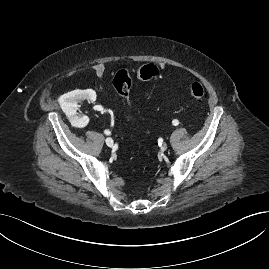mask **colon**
<instances>
[{
  "instance_id": "colon-1",
  "label": "colon",
  "mask_w": 269,
  "mask_h": 269,
  "mask_svg": "<svg viewBox=\"0 0 269 269\" xmlns=\"http://www.w3.org/2000/svg\"><path fill=\"white\" fill-rule=\"evenodd\" d=\"M160 69L155 65H145L139 70L138 77L148 80L159 76ZM133 79L126 70H119L114 78L113 85L118 93L123 97L128 106L131 105V91ZM189 95L194 101H201L204 97V88L200 83H193L189 86Z\"/></svg>"
}]
</instances>
